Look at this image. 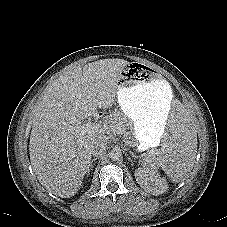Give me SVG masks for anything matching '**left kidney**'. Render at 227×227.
<instances>
[{
    "mask_svg": "<svg viewBox=\"0 0 227 227\" xmlns=\"http://www.w3.org/2000/svg\"><path fill=\"white\" fill-rule=\"evenodd\" d=\"M135 177L140 187L153 195L163 194L168 189V183L166 179L161 177L158 173L149 174L142 168H138L135 171Z\"/></svg>",
    "mask_w": 227,
    "mask_h": 227,
    "instance_id": "5707ae66",
    "label": "left kidney"
}]
</instances>
